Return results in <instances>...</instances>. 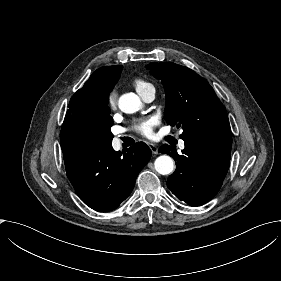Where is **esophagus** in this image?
<instances>
[{
  "instance_id": "34e87169",
  "label": "esophagus",
  "mask_w": 281,
  "mask_h": 281,
  "mask_svg": "<svg viewBox=\"0 0 281 281\" xmlns=\"http://www.w3.org/2000/svg\"><path fill=\"white\" fill-rule=\"evenodd\" d=\"M148 146L150 147V149H151L153 154H157L158 153V147L155 144L148 143Z\"/></svg>"
}]
</instances>
